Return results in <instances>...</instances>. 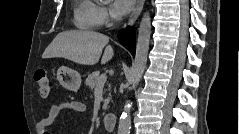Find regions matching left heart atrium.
I'll return each mask as SVG.
<instances>
[{
    "label": "left heart atrium",
    "mask_w": 239,
    "mask_h": 134,
    "mask_svg": "<svg viewBox=\"0 0 239 134\" xmlns=\"http://www.w3.org/2000/svg\"><path fill=\"white\" fill-rule=\"evenodd\" d=\"M133 4V0H115L111 6L112 13L115 17H124L131 11Z\"/></svg>",
    "instance_id": "left-heart-atrium-1"
}]
</instances>
